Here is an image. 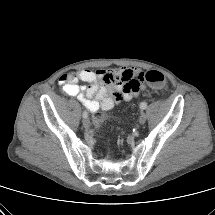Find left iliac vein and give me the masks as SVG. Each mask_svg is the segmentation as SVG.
<instances>
[{"label":"left iliac vein","mask_w":215,"mask_h":215,"mask_svg":"<svg viewBox=\"0 0 215 215\" xmlns=\"http://www.w3.org/2000/svg\"><path fill=\"white\" fill-rule=\"evenodd\" d=\"M146 122V114L144 112H141L139 117V123L143 125Z\"/></svg>","instance_id":"1"}]
</instances>
